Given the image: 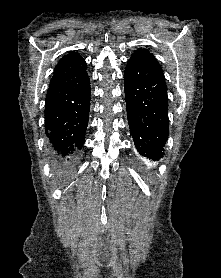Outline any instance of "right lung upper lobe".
I'll return each instance as SVG.
<instances>
[{"label":"right lung upper lobe","mask_w":221,"mask_h":278,"mask_svg":"<svg viewBox=\"0 0 221 278\" xmlns=\"http://www.w3.org/2000/svg\"><path fill=\"white\" fill-rule=\"evenodd\" d=\"M87 64L77 52H69L58 62L49 87H54L86 72Z\"/></svg>","instance_id":"obj_1"}]
</instances>
